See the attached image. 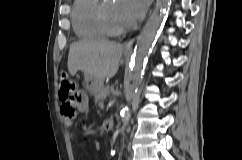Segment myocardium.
I'll return each mask as SVG.
<instances>
[{
	"instance_id": "1",
	"label": "myocardium",
	"mask_w": 242,
	"mask_h": 160,
	"mask_svg": "<svg viewBox=\"0 0 242 160\" xmlns=\"http://www.w3.org/2000/svg\"><path fill=\"white\" fill-rule=\"evenodd\" d=\"M102 2L99 3L97 6L96 20H97V24H98L101 32L103 33V35L108 36V37H119V36L125 34L129 29L128 26H126L122 29H113L108 25L106 18H105Z\"/></svg>"
}]
</instances>
